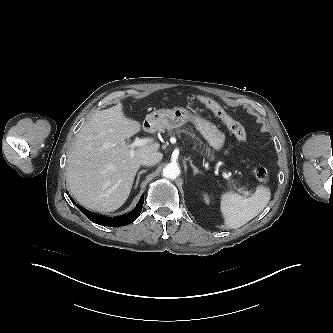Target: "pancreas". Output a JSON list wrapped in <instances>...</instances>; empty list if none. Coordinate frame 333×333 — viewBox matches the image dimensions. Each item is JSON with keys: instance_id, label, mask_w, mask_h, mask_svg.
<instances>
[{"instance_id": "cf45deb5", "label": "pancreas", "mask_w": 333, "mask_h": 333, "mask_svg": "<svg viewBox=\"0 0 333 333\" xmlns=\"http://www.w3.org/2000/svg\"><path fill=\"white\" fill-rule=\"evenodd\" d=\"M175 132L178 135H180L181 133H185L186 135H189L194 140V148H196L197 146H199V148H201V146H203V142L199 138L196 137V135L192 129H188V128L177 129ZM168 133L172 134L173 131L170 130ZM204 149H206V151H209V149L205 148V146H204ZM230 187H233L236 189V185L233 182L230 183Z\"/></svg>"}]
</instances>
